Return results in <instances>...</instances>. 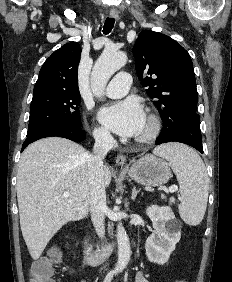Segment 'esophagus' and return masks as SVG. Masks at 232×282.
<instances>
[{"mask_svg": "<svg viewBox=\"0 0 232 282\" xmlns=\"http://www.w3.org/2000/svg\"><path fill=\"white\" fill-rule=\"evenodd\" d=\"M109 15L111 18H114V19L119 18L118 12L116 10H111ZM116 164L121 167L126 166V157L122 154H118L116 156Z\"/></svg>", "mask_w": 232, "mask_h": 282, "instance_id": "1", "label": "esophagus"}]
</instances>
